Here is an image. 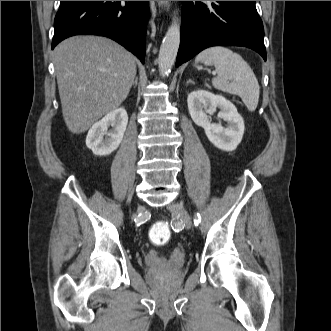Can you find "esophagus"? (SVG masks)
I'll list each match as a JSON object with an SVG mask.
<instances>
[{"label": "esophagus", "instance_id": "obj_1", "mask_svg": "<svg viewBox=\"0 0 331 331\" xmlns=\"http://www.w3.org/2000/svg\"><path fill=\"white\" fill-rule=\"evenodd\" d=\"M157 4L162 9H166L167 8V5H168V1H157Z\"/></svg>", "mask_w": 331, "mask_h": 331}]
</instances>
